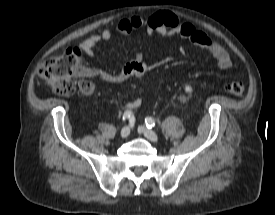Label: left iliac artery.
<instances>
[{"instance_id":"left-iliac-artery-1","label":"left iliac artery","mask_w":275,"mask_h":215,"mask_svg":"<svg viewBox=\"0 0 275 215\" xmlns=\"http://www.w3.org/2000/svg\"><path fill=\"white\" fill-rule=\"evenodd\" d=\"M145 124H146L147 128L150 129L155 126V120L152 119L151 117H146Z\"/></svg>"}]
</instances>
